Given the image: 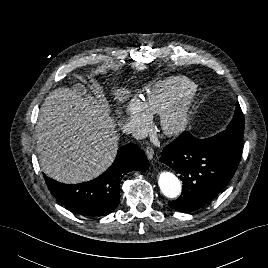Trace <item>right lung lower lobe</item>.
<instances>
[{"label":"right lung lower lobe","mask_w":268,"mask_h":268,"mask_svg":"<svg viewBox=\"0 0 268 268\" xmlns=\"http://www.w3.org/2000/svg\"><path fill=\"white\" fill-rule=\"evenodd\" d=\"M148 168L144 152L135 144H127L118 149L113 164L91 181L68 185L46 175L44 179L50 192L73 213L104 216L119 204V185L123 176L130 171H145Z\"/></svg>","instance_id":"right-lung-lower-lobe-1"}]
</instances>
